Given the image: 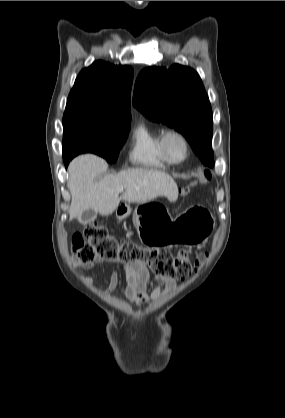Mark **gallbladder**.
Returning a JSON list of instances; mask_svg holds the SVG:
<instances>
[{
	"label": "gallbladder",
	"instance_id": "1",
	"mask_svg": "<svg viewBox=\"0 0 285 418\" xmlns=\"http://www.w3.org/2000/svg\"><path fill=\"white\" fill-rule=\"evenodd\" d=\"M97 216V212L93 209H88L84 211L80 217V223L85 225L95 220Z\"/></svg>",
	"mask_w": 285,
	"mask_h": 418
}]
</instances>
